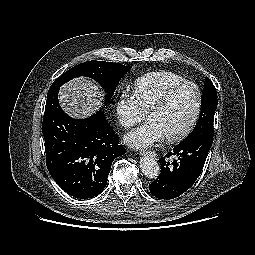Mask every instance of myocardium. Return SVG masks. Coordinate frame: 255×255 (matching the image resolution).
<instances>
[{
    "label": "myocardium",
    "instance_id": "1",
    "mask_svg": "<svg viewBox=\"0 0 255 255\" xmlns=\"http://www.w3.org/2000/svg\"><path fill=\"white\" fill-rule=\"evenodd\" d=\"M185 86H193L196 91H197V105H196V109L195 112L189 122V124L185 127V129H183L180 133L176 134V135H172V136H166V140L169 143H178L181 142L182 140H184L194 129L201 111H202V104H203V94L202 91L200 89V87L192 82V81H183L173 87H171L169 90H167L162 97L152 106V108L149 110L148 112V117L154 113L157 112L161 109H163L168 102L170 101L171 97L181 88L185 87Z\"/></svg>",
    "mask_w": 255,
    "mask_h": 255
}]
</instances>
